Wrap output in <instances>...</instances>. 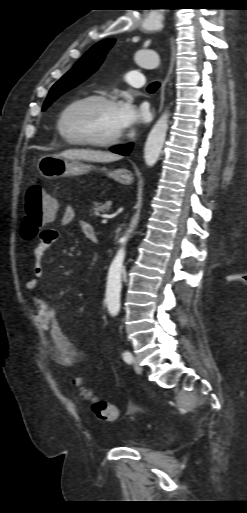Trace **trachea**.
<instances>
[{
	"mask_svg": "<svg viewBox=\"0 0 247 513\" xmlns=\"http://www.w3.org/2000/svg\"><path fill=\"white\" fill-rule=\"evenodd\" d=\"M160 86L159 82H153L147 87V91L150 93H154Z\"/></svg>",
	"mask_w": 247,
	"mask_h": 513,
	"instance_id": "3493384b",
	"label": "trachea"
}]
</instances>
